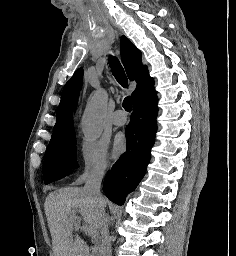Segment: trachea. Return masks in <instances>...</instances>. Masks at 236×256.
I'll list each match as a JSON object with an SVG mask.
<instances>
[{
    "label": "trachea",
    "instance_id": "1",
    "mask_svg": "<svg viewBox=\"0 0 236 256\" xmlns=\"http://www.w3.org/2000/svg\"><path fill=\"white\" fill-rule=\"evenodd\" d=\"M109 64L111 67V71H112L114 77L116 78V80L120 83V85L122 87L127 88L128 80H127L124 69L121 66V63L119 62V60L117 58H115L114 56H112L109 59ZM123 108L126 111H129V112L132 111V100H131L130 96H127L123 100Z\"/></svg>",
    "mask_w": 236,
    "mask_h": 256
}]
</instances>
